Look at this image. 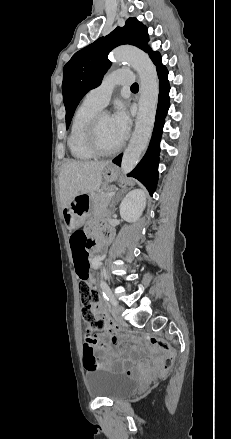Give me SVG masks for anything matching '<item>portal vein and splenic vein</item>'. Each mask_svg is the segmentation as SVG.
<instances>
[{
	"instance_id": "1",
	"label": "portal vein and splenic vein",
	"mask_w": 231,
	"mask_h": 439,
	"mask_svg": "<svg viewBox=\"0 0 231 439\" xmlns=\"http://www.w3.org/2000/svg\"><path fill=\"white\" fill-rule=\"evenodd\" d=\"M115 195V192H110L109 194H108V197H113Z\"/></svg>"
}]
</instances>
